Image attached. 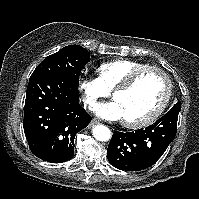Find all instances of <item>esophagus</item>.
Returning <instances> with one entry per match:
<instances>
[{"instance_id":"obj_1","label":"esophagus","mask_w":199,"mask_h":199,"mask_svg":"<svg viewBox=\"0 0 199 199\" xmlns=\"http://www.w3.org/2000/svg\"><path fill=\"white\" fill-rule=\"evenodd\" d=\"M98 124H99L98 121L92 120V121L90 122V127H93V126L98 125Z\"/></svg>"}]
</instances>
